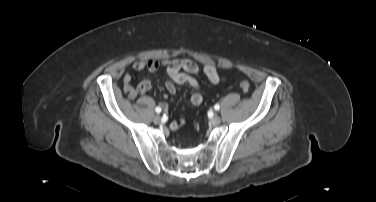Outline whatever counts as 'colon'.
Returning <instances> with one entry per match:
<instances>
[{
    "label": "colon",
    "mask_w": 376,
    "mask_h": 202,
    "mask_svg": "<svg viewBox=\"0 0 376 202\" xmlns=\"http://www.w3.org/2000/svg\"><path fill=\"white\" fill-rule=\"evenodd\" d=\"M240 88L243 90V91H248L250 89V83L247 81V80H242L239 84Z\"/></svg>",
    "instance_id": "obj_1"
}]
</instances>
